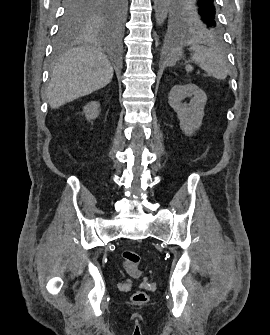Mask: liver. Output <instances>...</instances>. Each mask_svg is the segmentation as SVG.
Segmentation results:
<instances>
[{
	"label": "liver",
	"mask_w": 270,
	"mask_h": 335,
	"mask_svg": "<svg viewBox=\"0 0 270 335\" xmlns=\"http://www.w3.org/2000/svg\"><path fill=\"white\" fill-rule=\"evenodd\" d=\"M112 78L113 68L99 46L73 48L59 58L52 70L48 104L53 110L60 108L104 88Z\"/></svg>",
	"instance_id": "obj_1"
}]
</instances>
